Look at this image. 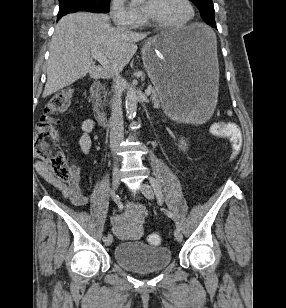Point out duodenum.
I'll return each instance as SVG.
<instances>
[{"label": "duodenum", "instance_id": "obj_1", "mask_svg": "<svg viewBox=\"0 0 286 308\" xmlns=\"http://www.w3.org/2000/svg\"><path fill=\"white\" fill-rule=\"evenodd\" d=\"M101 89H102L101 82L99 81L94 82L90 87V99L92 102V108L95 113L96 119L99 121V123L105 124L106 118L99 101V93Z\"/></svg>", "mask_w": 286, "mask_h": 308}]
</instances>
